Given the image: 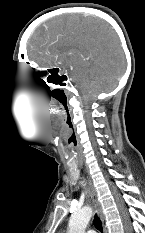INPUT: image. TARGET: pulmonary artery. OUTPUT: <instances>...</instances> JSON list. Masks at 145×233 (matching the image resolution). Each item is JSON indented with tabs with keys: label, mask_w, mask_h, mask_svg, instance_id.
Instances as JSON below:
<instances>
[{
	"label": "pulmonary artery",
	"mask_w": 145,
	"mask_h": 233,
	"mask_svg": "<svg viewBox=\"0 0 145 233\" xmlns=\"http://www.w3.org/2000/svg\"><path fill=\"white\" fill-rule=\"evenodd\" d=\"M87 233H96V232L93 230H88Z\"/></svg>",
	"instance_id": "e3ab8cb5"
}]
</instances>
